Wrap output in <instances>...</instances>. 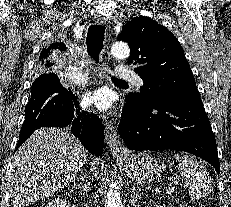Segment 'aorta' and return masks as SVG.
<instances>
[{"instance_id":"1","label":"aorta","mask_w":231,"mask_h":207,"mask_svg":"<svg viewBox=\"0 0 231 207\" xmlns=\"http://www.w3.org/2000/svg\"><path fill=\"white\" fill-rule=\"evenodd\" d=\"M110 54L118 59H126L130 55V49L126 43L116 42L112 45ZM104 207H123L120 192L114 184L110 186L107 192Z\"/></svg>"}]
</instances>
